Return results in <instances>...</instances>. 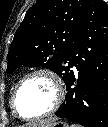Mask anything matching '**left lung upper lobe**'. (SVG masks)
Wrapping results in <instances>:
<instances>
[{
    "instance_id": "obj_1",
    "label": "left lung upper lobe",
    "mask_w": 108,
    "mask_h": 127,
    "mask_svg": "<svg viewBox=\"0 0 108 127\" xmlns=\"http://www.w3.org/2000/svg\"><path fill=\"white\" fill-rule=\"evenodd\" d=\"M88 0H38L15 33L7 73L21 65L48 68L65 81L64 68Z\"/></svg>"
}]
</instances>
